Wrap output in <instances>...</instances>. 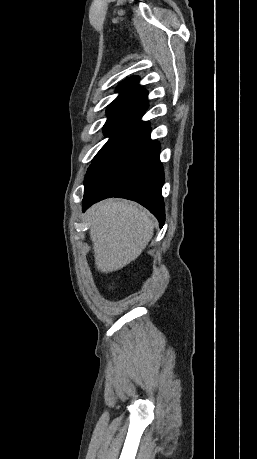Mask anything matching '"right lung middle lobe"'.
I'll list each match as a JSON object with an SVG mask.
<instances>
[{
  "label": "right lung middle lobe",
  "instance_id": "1",
  "mask_svg": "<svg viewBox=\"0 0 257 459\" xmlns=\"http://www.w3.org/2000/svg\"><path fill=\"white\" fill-rule=\"evenodd\" d=\"M108 120L104 125L103 132L106 136L110 137L108 142L101 148V150L97 153L94 159H96L108 146L109 142L112 138L116 135L119 129L123 126V124L128 121L134 114L130 112H123V111H116V112H107Z\"/></svg>",
  "mask_w": 257,
  "mask_h": 459
}]
</instances>
